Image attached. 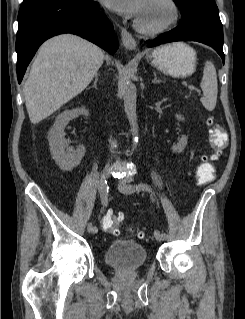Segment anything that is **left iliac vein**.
Instances as JSON below:
<instances>
[{"label": "left iliac vein", "mask_w": 245, "mask_h": 319, "mask_svg": "<svg viewBox=\"0 0 245 319\" xmlns=\"http://www.w3.org/2000/svg\"><path fill=\"white\" fill-rule=\"evenodd\" d=\"M132 181V177L130 176H126L124 177L123 179H121L119 181V189L122 191V192H125V193H131L133 191H129V190H126V186L130 184V182ZM154 236L156 238L157 241L161 242L163 241L165 238L161 235L160 231L158 230H155L154 232Z\"/></svg>", "instance_id": "4c4485c4"}]
</instances>
